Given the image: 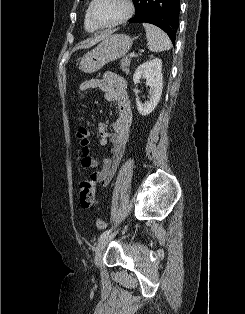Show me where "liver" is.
<instances>
[{"mask_svg":"<svg viewBox=\"0 0 245 314\" xmlns=\"http://www.w3.org/2000/svg\"><path fill=\"white\" fill-rule=\"evenodd\" d=\"M111 33H112L111 31L110 32H103V33H101L100 35H97L94 38H90V39L86 40L85 42H83L82 44L76 46L74 48V51L78 50V49L90 48L93 45H95L96 43H98L99 41H101V40L105 39L106 37H108L109 35H111Z\"/></svg>","mask_w":245,"mask_h":314,"instance_id":"1","label":"liver"}]
</instances>
